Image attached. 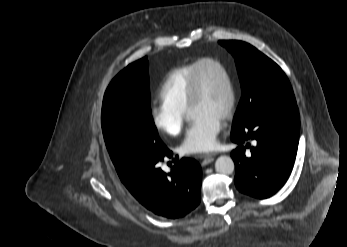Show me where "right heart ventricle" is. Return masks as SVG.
Returning a JSON list of instances; mask_svg holds the SVG:
<instances>
[{
	"instance_id": "right-heart-ventricle-1",
	"label": "right heart ventricle",
	"mask_w": 347,
	"mask_h": 247,
	"mask_svg": "<svg viewBox=\"0 0 347 247\" xmlns=\"http://www.w3.org/2000/svg\"><path fill=\"white\" fill-rule=\"evenodd\" d=\"M197 62L179 66L168 73L159 90L163 104L182 112L187 110L189 84Z\"/></svg>"
}]
</instances>
